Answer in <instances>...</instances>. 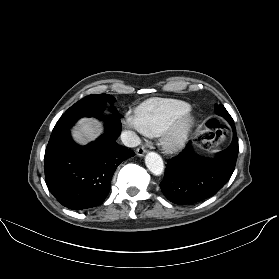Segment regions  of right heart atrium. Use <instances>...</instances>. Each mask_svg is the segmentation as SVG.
<instances>
[{"label": "right heart atrium", "mask_w": 279, "mask_h": 279, "mask_svg": "<svg viewBox=\"0 0 279 279\" xmlns=\"http://www.w3.org/2000/svg\"><path fill=\"white\" fill-rule=\"evenodd\" d=\"M123 124L137 133H144L137 113L129 112L125 115Z\"/></svg>", "instance_id": "1"}]
</instances>
